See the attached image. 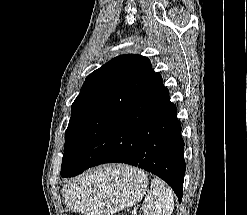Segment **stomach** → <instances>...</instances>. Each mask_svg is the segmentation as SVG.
I'll list each match as a JSON object with an SVG mask.
<instances>
[{
  "label": "stomach",
  "instance_id": "stomach-1",
  "mask_svg": "<svg viewBox=\"0 0 247 215\" xmlns=\"http://www.w3.org/2000/svg\"><path fill=\"white\" fill-rule=\"evenodd\" d=\"M123 167H99L66 185L62 197L67 209L85 215H112L136 204L147 190V178L138 169Z\"/></svg>",
  "mask_w": 247,
  "mask_h": 215
}]
</instances>
